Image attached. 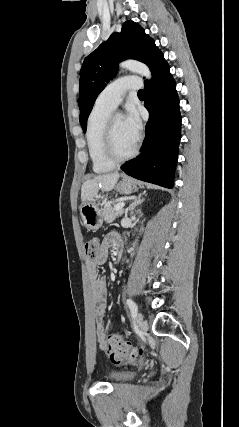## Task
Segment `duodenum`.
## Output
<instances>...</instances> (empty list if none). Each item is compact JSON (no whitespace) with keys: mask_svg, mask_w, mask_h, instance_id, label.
<instances>
[{"mask_svg":"<svg viewBox=\"0 0 239 427\" xmlns=\"http://www.w3.org/2000/svg\"><path fill=\"white\" fill-rule=\"evenodd\" d=\"M116 250H117V254L119 256L120 251H121V244L120 243L116 246Z\"/></svg>","mask_w":239,"mask_h":427,"instance_id":"duodenum-1","label":"duodenum"}]
</instances>
